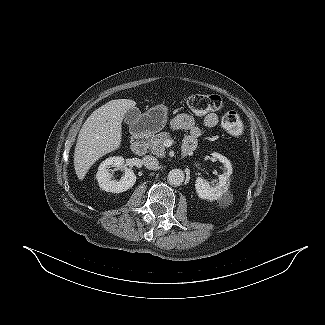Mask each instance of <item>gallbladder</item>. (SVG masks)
I'll list each match as a JSON object with an SVG mask.
<instances>
[{"instance_id": "obj_1", "label": "gallbladder", "mask_w": 325, "mask_h": 325, "mask_svg": "<svg viewBox=\"0 0 325 325\" xmlns=\"http://www.w3.org/2000/svg\"><path fill=\"white\" fill-rule=\"evenodd\" d=\"M140 116V110L137 107H133L128 109L126 114L124 115V121L131 125L134 123Z\"/></svg>"}]
</instances>
